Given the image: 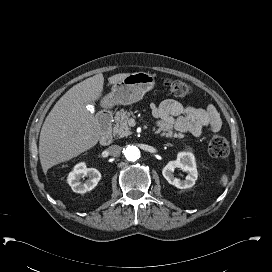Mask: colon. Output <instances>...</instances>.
<instances>
[{
	"mask_svg": "<svg viewBox=\"0 0 272 272\" xmlns=\"http://www.w3.org/2000/svg\"><path fill=\"white\" fill-rule=\"evenodd\" d=\"M163 85L166 93L173 98H185L191 92V87L185 82L165 79ZM209 152L214 157H226L229 153L227 140L218 134L212 135L209 141Z\"/></svg>",
	"mask_w": 272,
	"mask_h": 272,
	"instance_id": "colon-1",
	"label": "colon"
}]
</instances>
